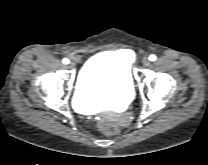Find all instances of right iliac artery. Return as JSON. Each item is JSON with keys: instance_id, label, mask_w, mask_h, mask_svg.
<instances>
[{"instance_id": "right-iliac-artery-1", "label": "right iliac artery", "mask_w": 208, "mask_h": 165, "mask_svg": "<svg viewBox=\"0 0 208 165\" xmlns=\"http://www.w3.org/2000/svg\"><path fill=\"white\" fill-rule=\"evenodd\" d=\"M62 62H63L64 64H68V63H69V60H68L67 58H64V59L62 60Z\"/></svg>"}]
</instances>
